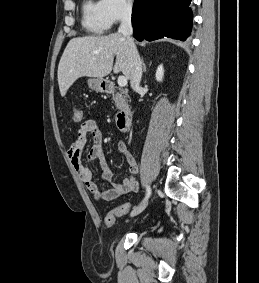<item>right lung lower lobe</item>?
<instances>
[{
  "mask_svg": "<svg viewBox=\"0 0 259 283\" xmlns=\"http://www.w3.org/2000/svg\"><path fill=\"white\" fill-rule=\"evenodd\" d=\"M191 0H135L133 36L142 41L163 38L186 40L192 28Z\"/></svg>",
  "mask_w": 259,
  "mask_h": 283,
  "instance_id": "obj_1",
  "label": "right lung lower lobe"
}]
</instances>
